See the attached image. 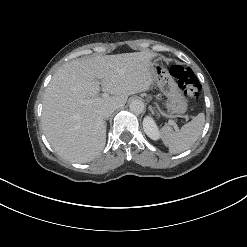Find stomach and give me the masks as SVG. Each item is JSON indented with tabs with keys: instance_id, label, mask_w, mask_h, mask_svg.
Here are the masks:
<instances>
[{
	"instance_id": "obj_1",
	"label": "stomach",
	"mask_w": 247,
	"mask_h": 247,
	"mask_svg": "<svg viewBox=\"0 0 247 247\" xmlns=\"http://www.w3.org/2000/svg\"><path fill=\"white\" fill-rule=\"evenodd\" d=\"M137 69L142 77L154 78V82L167 97L165 116L178 117L187 111L188 100L164 66L146 59L138 64Z\"/></svg>"
}]
</instances>
